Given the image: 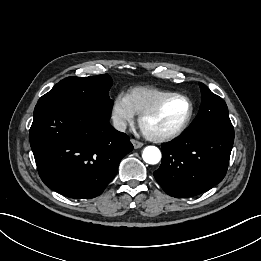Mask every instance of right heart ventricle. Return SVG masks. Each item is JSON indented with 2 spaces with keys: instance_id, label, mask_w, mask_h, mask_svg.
Masks as SVG:
<instances>
[{
  "instance_id": "obj_1",
  "label": "right heart ventricle",
  "mask_w": 261,
  "mask_h": 261,
  "mask_svg": "<svg viewBox=\"0 0 261 261\" xmlns=\"http://www.w3.org/2000/svg\"><path fill=\"white\" fill-rule=\"evenodd\" d=\"M170 94V92L161 90L154 87L140 86L132 88L127 98L135 114H141L158 102L164 96Z\"/></svg>"
}]
</instances>
